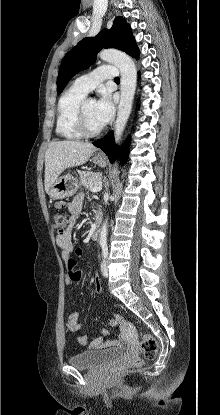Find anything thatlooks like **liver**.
Wrapping results in <instances>:
<instances>
[{"mask_svg":"<svg viewBox=\"0 0 220 415\" xmlns=\"http://www.w3.org/2000/svg\"><path fill=\"white\" fill-rule=\"evenodd\" d=\"M95 151L96 147L91 143L51 142L45 154V191L49 194V189L64 170L85 164Z\"/></svg>","mask_w":220,"mask_h":415,"instance_id":"obj_1","label":"liver"}]
</instances>
